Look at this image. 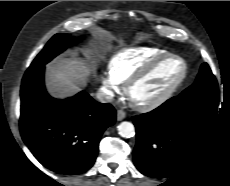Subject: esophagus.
Masks as SVG:
<instances>
[{
	"instance_id": "1",
	"label": "esophagus",
	"mask_w": 230,
	"mask_h": 186,
	"mask_svg": "<svg viewBox=\"0 0 230 186\" xmlns=\"http://www.w3.org/2000/svg\"><path fill=\"white\" fill-rule=\"evenodd\" d=\"M126 117V113L123 110H118L117 111V120L121 121Z\"/></svg>"
}]
</instances>
